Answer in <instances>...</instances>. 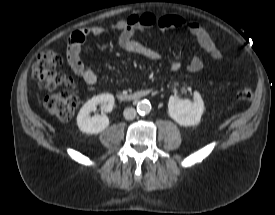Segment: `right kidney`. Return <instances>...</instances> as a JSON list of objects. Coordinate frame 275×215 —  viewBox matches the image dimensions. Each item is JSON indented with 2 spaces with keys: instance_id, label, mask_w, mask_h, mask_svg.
<instances>
[{
  "instance_id": "ca27d5eb",
  "label": "right kidney",
  "mask_w": 275,
  "mask_h": 215,
  "mask_svg": "<svg viewBox=\"0 0 275 215\" xmlns=\"http://www.w3.org/2000/svg\"><path fill=\"white\" fill-rule=\"evenodd\" d=\"M99 104L105 112H111L114 106L113 95L106 93L94 96L82 106L77 116V125L82 132L98 134L109 126L106 114L90 116V113L95 111Z\"/></svg>"
}]
</instances>
